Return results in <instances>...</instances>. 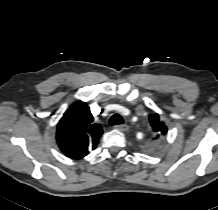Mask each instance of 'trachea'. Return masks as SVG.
Listing matches in <instances>:
<instances>
[{
	"label": "trachea",
	"mask_w": 218,
	"mask_h": 210,
	"mask_svg": "<svg viewBox=\"0 0 218 210\" xmlns=\"http://www.w3.org/2000/svg\"><path fill=\"white\" fill-rule=\"evenodd\" d=\"M109 123H110V125H121L124 123V120H123L121 115L114 114L111 116Z\"/></svg>",
	"instance_id": "trachea-1"
}]
</instances>
